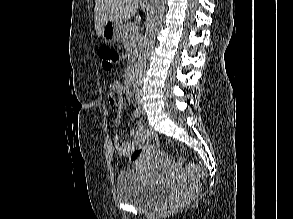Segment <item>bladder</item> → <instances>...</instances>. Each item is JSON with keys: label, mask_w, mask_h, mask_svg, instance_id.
Returning a JSON list of instances; mask_svg holds the SVG:
<instances>
[{"label": "bladder", "mask_w": 293, "mask_h": 219, "mask_svg": "<svg viewBox=\"0 0 293 219\" xmlns=\"http://www.w3.org/2000/svg\"><path fill=\"white\" fill-rule=\"evenodd\" d=\"M166 186L146 179L137 171L124 170L116 181L118 202L138 209H152L162 203L167 195Z\"/></svg>", "instance_id": "1"}]
</instances>
